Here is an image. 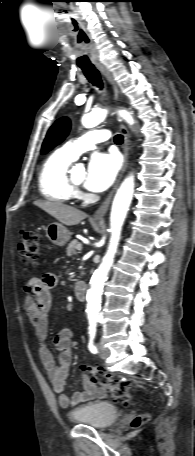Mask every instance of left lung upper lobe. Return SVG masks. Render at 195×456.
Listing matches in <instances>:
<instances>
[{
  "mask_svg": "<svg viewBox=\"0 0 195 456\" xmlns=\"http://www.w3.org/2000/svg\"><path fill=\"white\" fill-rule=\"evenodd\" d=\"M70 120L67 117L58 119L49 129L46 138L42 144L41 153L45 154L55 146L60 144L68 135L70 130Z\"/></svg>",
  "mask_w": 195,
  "mask_h": 456,
  "instance_id": "obj_1",
  "label": "left lung upper lobe"
}]
</instances>
